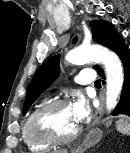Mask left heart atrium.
<instances>
[{
    "label": "left heart atrium",
    "mask_w": 130,
    "mask_h": 153,
    "mask_svg": "<svg viewBox=\"0 0 130 153\" xmlns=\"http://www.w3.org/2000/svg\"><path fill=\"white\" fill-rule=\"evenodd\" d=\"M71 109L74 119L78 124L82 122L84 119H86L91 112L89 102L82 96L78 97L71 104Z\"/></svg>",
    "instance_id": "left-heart-atrium-1"
}]
</instances>
